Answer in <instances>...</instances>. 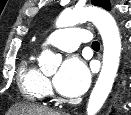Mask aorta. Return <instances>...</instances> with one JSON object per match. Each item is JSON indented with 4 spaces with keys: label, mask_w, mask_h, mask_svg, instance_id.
Returning a JSON list of instances; mask_svg holds the SVG:
<instances>
[{
    "label": "aorta",
    "mask_w": 131,
    "mask_h": 115,
    "mask_svg": "<svg viewBox=\"0 0 131 115\" xmlns=\"http://www.w3.org/2000/svg\"><path fill=\"white\" fill-rule=\"evenodd\" d=\"M85 21L94 23L101 34L104 46L102 68L87 105V115H96L107 99L117 74L121 38L111 14L96 7L63 11L56 21V26L58 28L68 27ZM39 65L44 73L52 72L56 65V56L50 50H44L39 58Z\"/></svg>",
    "instance_id": "1"
}]
</instances>
